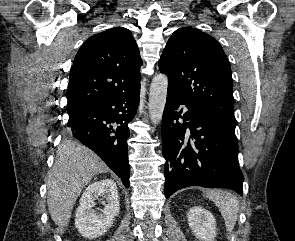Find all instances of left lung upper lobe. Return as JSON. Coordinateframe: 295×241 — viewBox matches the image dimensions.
<instances>
[{"mask_svg":"<svg viewBox=\"0 0 295 241\" xmlns=\"http://www.w3.org/2000/svg\"><path fill=\"white\" fill-rule=\"evenodd\" d=\"M159 68L168 76V90L236 126L231 67L216 39L195 28H179L168 40Z\"/></svg>","mask_w":295,"mask_h":241,"instance_id":"5c2ea615","label":"left lung upper lobe"}]
</instances>
